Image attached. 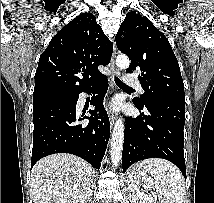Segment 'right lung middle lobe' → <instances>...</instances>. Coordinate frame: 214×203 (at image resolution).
I'll return each instance as SVG.
<instances>
[{
  "mask_svg": "<svg viewBox=\"0 0 214 203\" xmlns=\"http://www.w3.org/2000/svg\"><path fill=\"white\" fill-rule=\"evenodd\" d=\"M57 96H59V95L33 99V107L38 106V105H40V104H42V103H44V102H46L52 98H55Z\"/></svg>",
  "mask_w": 214,
  "mask_h": 203,
  "instance_id": "1",
  "label": "right lung middle lobe"
}]
</instances>
